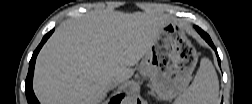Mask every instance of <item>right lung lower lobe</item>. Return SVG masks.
Returning <instances> with one entry per match:
<instances>
[{
  "label": "right lung lower lobe",
  "instance_id": "1",
  "mask_svg": "<svg viewBox=\"0 0 252 104\" xmlns=\"http://www.w3.org/2000/svg\"><path fill=\"white\" fill-rule=\"evenodd\" d=\"M53 31L54 30H51L49 33H47L43 37L41 43L39 44L37 49L34 51V53L32 55V58L30 60L29 71H28V75H27V78H26V81H25V93H26L28 104H39V102H38V100H37V98H36V96H35V94L33 92V88H32L34 65H35L37 54L39 53V51L42 48L43 44L47 41V39L53 33ZM123 97H124V94H119V95L115 96L114 98H112L110 104H119Z\"/></svg>",
  "mask_w": 252,
  "mask_h": 104
}]
</instances>
